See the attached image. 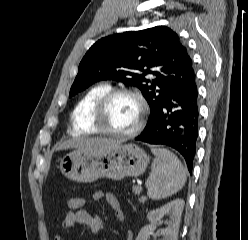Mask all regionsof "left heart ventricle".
Here are the masks:
<instances>
[{"instance_id": "1", "label": "left heart ventricle", "mask_w": 248, "mask_h": 240, "mask_svg": "<svg viewBox=\"0 0 248 240\" xmlns=\"http://www.w3.org/2000/svg\"><path fill=\"white\" fill-rule=\"evenodd\" d=\"M139 114L140 107L134 97L119 95L107 107L103 126L116 132H128L136 125Z\"/></svg>"}]
</instances>
